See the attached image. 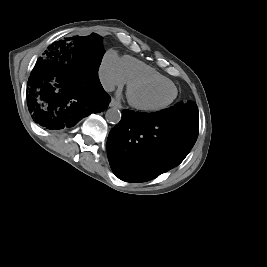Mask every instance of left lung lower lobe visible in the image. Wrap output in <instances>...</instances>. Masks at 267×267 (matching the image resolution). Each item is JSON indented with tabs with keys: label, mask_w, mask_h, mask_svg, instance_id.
<instances>
[{
	"label": "left lung lower lobe",
	"mask_w": 267,
	"mask_h": 267,
	"mask_svg": "<svg viewBox=\"0 0 267 267\" xmlns=\"http://www.w3.org/2000/svg\"><path fill=\"white\" fill-rule=\"evenodd\" d=\"M198 132V111L173 107L154 113L123 110L107 140L110 166L123 181H149L179 165Z\"/></svg>",
	"instance_id": "1"
}]
</instances>
